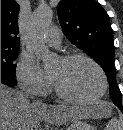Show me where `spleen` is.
<instances>
[{
  "instance_id": "spleen-1",
  "label": "spleen",
  "mask_w": 123,
  "mask_h": 130,
  "mask_svg": "<svg viewBox=\"0 0 123 130\" xmlns=\"http://www.w3.org/2000/svg\"><path fill=\"white\" fill-rule=\"evenodd\" d=\"M105 130H121V126H120V123L119 121L117 120V118H112L107 126H106V129Z\"/></svg>"
}]
</instances>
